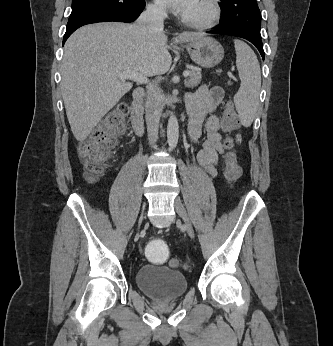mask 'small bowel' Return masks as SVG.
Wrapping results in <instances>:
<instances>
[{
	"label": "small bowel",
	"instance_id": "c3829d8e",
	"mask_svg": "<svg viewBox=\"0 0 333 346\" xmlns=\"http://www.w3.org/2000/svg\"><path fill=\"white\" fill-rule=\"evenodd\" d=\"M223 89L220 86L209 87L202 85L196 92L187 95L186 110L189 115V134L192 140H197L204 131L206 139L197 159L200 165L212 176L217 173L220 155L224 154L225 147L220 130L223 123L215 113L223 99ZM236 142L240 135H235Z\"/></svg>",
	"mask_w": 333,
	"mask_h": 346
}]
</instances>
